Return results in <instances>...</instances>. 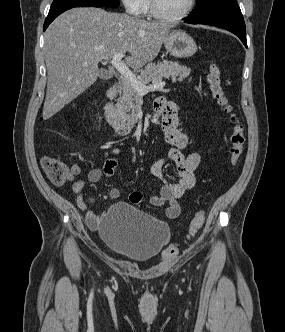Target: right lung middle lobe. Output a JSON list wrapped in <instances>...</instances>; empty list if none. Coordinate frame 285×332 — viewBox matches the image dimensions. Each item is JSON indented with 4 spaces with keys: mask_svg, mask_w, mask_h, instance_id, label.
<instances>
[{
    "mask_svg": "<svg viewBox=\"0 0 285 332\" xmlns=\"http://www.w3.org/2000/svg\"><path fill=\"white\" fill-rule=\"evenodd\" d=\"M119 0H54L50 9L78 6L118 7Z\"/></svg>",
    "mask_w": 285,
    "mask_h": 332,
    "instance_id": "right-lung-middle-lobe-1",
    "label": "right lung middle lobe"
}]
</instances>
